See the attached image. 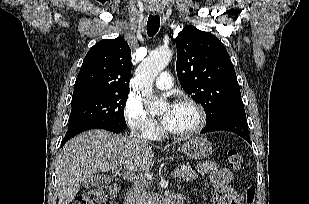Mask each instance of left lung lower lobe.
Here are the masks:
<instances>
[{
    "mask_svg": "<svg viewBox=\"0 0 309 204\" xmlns=\"http://www.w3.org/2000/svg\"><path fill=\"white\" fill-rule=\"evenodd\" d=\"M212 131H230L240 135L251 144L244 108L226 110L207 121L202 133Z\"/></svg>",
    "mask_w": 309,
    "mask_h": 204,
    "instance_id": "0a47b994",
    "label": "left lung lower lobe"
}]
</instances>
